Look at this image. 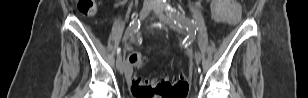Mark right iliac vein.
<instances>
[{
	"label": "right iliac vein",
	"mask_w": 308,
	"mask_h": 98,
	"mask_svg": "<svg viewBox=\"0 0 308 98\" xmlns=\"http://www.w3.org/2000/svg\"><path fill=\"white\" fill-rule=\"evenodd\" d=\"M150 11H151L150 6H144L139 13L138 20L144 19L150 13ZM117 59L119 62L118 70L120 71L121 74H123L126 71V64L124 60L122 59L121 55Z\"/></svg>",
	"instance_id": "1"
}]
</instances>
